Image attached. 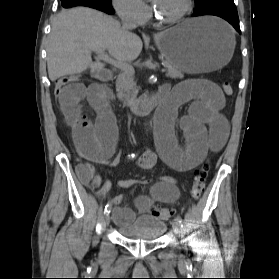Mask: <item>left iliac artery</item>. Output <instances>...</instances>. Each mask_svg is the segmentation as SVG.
Instances as JSON below:
<instances>
[{"mask_svg": "<svg viewBox=\"0 0 279 279\" xmlns=\"http://www.w3.org/2000/svg\"><path fill=\"white\" fill-rule=\"evenodd\" d=\"M176 220L178 221V223L180 224V226L183 227L181 217H180V216H177Z\"/></svg>", "mask_w": 279, "mask_h": 279, "instance_id": "obj_1", "label": "left iliac artery"}]
</instances>
